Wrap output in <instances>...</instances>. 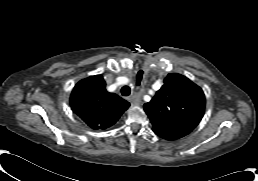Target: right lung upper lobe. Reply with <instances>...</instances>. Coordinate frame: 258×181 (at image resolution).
I'll return each instance as SVG.
<instances>
[{"label":"right lung upper lobe","instance_id":"1","mask_svg":"<svg viewBox=\"0 0 258 181\" xmlns=\"http://www.w3.org/2000/svg\"><path fill=\"white\" fill-rule=\"evenodd\" d=\"M73 111L91 128L106 129L112 126L130 104L105 89L101 75L81 80L70 97Z\"/></svg>","mask_w":258,"mask_h":181}]
</instances>
